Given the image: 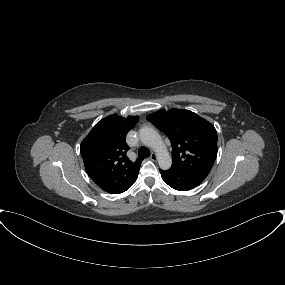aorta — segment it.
<instances>
[{
  "label": "aorta",
  "mask_w": 285,
  "mask_h": 285,
  "mask_svg": "<svg viewBox=\"0 0 285 285\" xmlns=\"http://www.w3.org/2000/svg\"><path fill=\"white\" fill-rule=\"evenodd\" d=\"M140 139L144 145L154 150L161 169L168 170L171 168V156L160 134L154 128L143 127L140 130Z\"/></svg>",
  "instance_id": "obj_1"
}]
</instances>
